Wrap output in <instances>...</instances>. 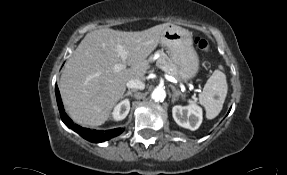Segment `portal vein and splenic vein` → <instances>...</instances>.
Returning <instances> with one entry per match:
<instances>
[{
  "instance_id": "portal-vein-and-splenic-vein-1",
  "label": "portal vein and splenic vein",
  "mask_w": 287,
  "mask_h": 175,
  "mask_svg": "<svg viewBox=\"0 0 287 175\" xmlns=\"http://www.w3.org/2000/svg\"><path fill=\"white\" fill-rule=\"evenodd\" d=\"M117 50H118V53H119V55L121 56L122 60H125V59L127 58V52L124 50V47H123L122 45H118V46H117ZM158 67H159L162 71H164L165 73H167V70H166L163 66L158 65ZM124 68H126V64H124V63H119V64H115V65H114V70H115V71H120V70H122V69H124ZM167 78H170V79H171V77H167Z\"/></svg>"
}]
</instances>
